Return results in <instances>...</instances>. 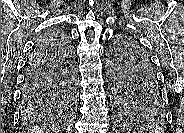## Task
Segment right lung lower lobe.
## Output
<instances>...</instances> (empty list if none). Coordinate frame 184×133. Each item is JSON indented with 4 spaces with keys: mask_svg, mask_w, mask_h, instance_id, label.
I'll use <instances>...</instances> for the list:
<instances>
[{
    "mask_svg": "<svg viewBox=\"0 0 184 133\" xmlns=\"http://www.w3.org/2000/svg\"><path fill=\"white\" fill-rule=\"evenodd\" d=\"M64 49L63 43L50 34L39 38L27 60L22 102L51 99L62 80Z\"/></svg>",
    "mask_w": 184,
    "mask_h": 133,
    "instance_id": "obj_1",
    "label": "right lung lower lobe"
}]
</instances>
